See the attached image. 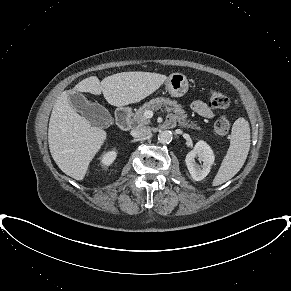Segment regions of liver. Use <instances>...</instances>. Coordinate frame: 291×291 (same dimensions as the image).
Instances as JSON below:
<instances>
[{
	"instance_id": "6515ba94",
	"label": "liver",
	"mask_w": 291,
	"mask_h": 291,
	"mask_svg": "<svg viewBox=\"0 0 291 291\" xmlns=\"http://www.w3.org/2000/svg\"><path fill=\"white\" fill-rule=\"evenodd\" d=\"M168 77L150 72H121L104 78L91 76L79 82L74 90L94 95L103 94L116 107L137 103L154 93ZM107 133L92 126L71 106L68 91L54 104L48 129L51 155L68 176L83 180L90 162L101 149Z\"/></svg>"
}]
</instances>
